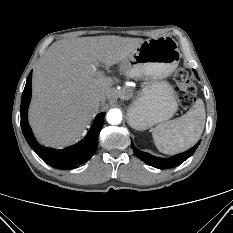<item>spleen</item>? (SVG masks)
Returning a JSON list of instances; mask_svg holds the SVG:
<instances>
[{"label": "spleen", "mask_w": 233, "mask_h": 233, "mask_svg": "<svg viewBox=\"0 0 233 233\" xmlns=\"http://www.w3.org/2000/svg\"><path fill=\"white\" fill-rule=\"evenodd\" d=\"M205 119L204 103L198 99L186 114L153 129L155 146L164 154L180 153L191 148L203 132Z\"/></svg>", "instance_id": "obj_1"}]
</instances>
